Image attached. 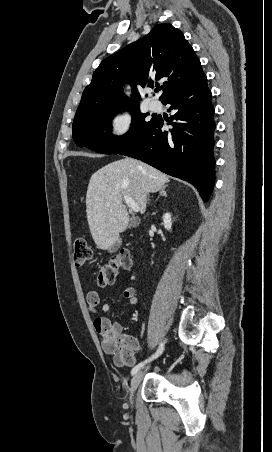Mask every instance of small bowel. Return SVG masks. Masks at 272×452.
Returning a JSON list of instances; mask_svg holds the SVG:
<instances>
[{
    "instance_id": "obj_1",
    "label": "small bowel",
    "mask_w": 272,
    "mask_h": 452,
    "mask_svg": "<svg viewBox=\"0 0 272 452\" xmlns=\"http://www.w3.org/2000/svg\"><path fill=\"white\" fill-rule=\"evenodd\" d=\"M123 297L129 301L130 304L136 305L138 303V297L133 287H127L122 292ZM86 302L88 311L94 316L93 327L95 331L101 336V344L105 352H112L113 350L108 347V344L112 339L123 337L130 341L136 340L123 334L122 326L118 323H112L108 318L98 316L100 296L97 291L89 290L86 294ZM103 312H109L111 310V304L105 302L101 305ZM137 343V342H136Z\"/></svg>"
}]
</instances>
